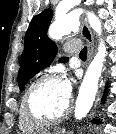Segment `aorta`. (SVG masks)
I'll use <instances>...</instances> for the list:
<instances>
[{
    "label": "aorta",
    "mask_w": 116,
    "mask_h": 134,
    "mask_svg": "<svg viewBox=\"0 0 116 134\" xmlns=\"http://www.w3.org/2000/svg\"><path fill=\"white\" fill-rule=\"evenodd\" d=\"M80 13L81 11L75 10L59 17L49 29L50 38L56 40L61 39L63 36L73 31L76 27ZM87 18L90 26L100 35L101 21L99 18L91 12H87ZM105 53L106 47L104 42L101 41L98 47V52L89 65L79 89L74 111V115L77 120L84 118L93 105L105 60Z\"/></svg>",
    "instance_id": "762f6f07"
}]
</instances>
